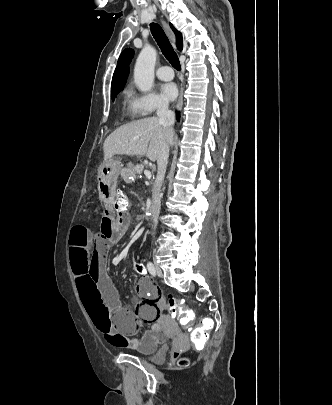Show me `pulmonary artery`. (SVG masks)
Segmentation results:
<instances>
[{"label": "pulmonary artery", "instance_id": "e3ab8cb5", "mask_svg": "<svg viewBox=\"0 0 332 405\" xmlns=\"http://www.w3.org/2000/svg\"><path fill=\"white\" fill-rule=\"evenodd\" d=\"M156 75L159 79L163 81H168L173 79L174 72L171 67L169 66H161L157 69Z\"/></svg>", "mask_w": 332, "mask_h": 405}]
</instances>
